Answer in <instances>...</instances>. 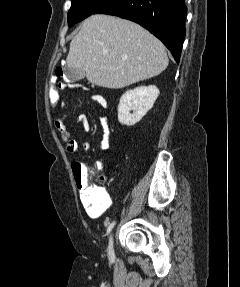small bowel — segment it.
Wrapping results in <instances>:
<instances>
[{
  "mask_svg": "<svg viewBox=\"0 0 240 287\" xmlns=\"http://www.w3.org/2000/svg\"><path fill=\"white\" fill-rule=\"evenodd\" d=\"M90 98L94 102L101 105L103 108L107 107V100L104 96L100 94H94L91 95ZM99 122L103 131L99 147L100 150L106 151L110 148L108 120L105 116H101L99 118ZM76 123L82 127L85 132L89 133L91 131L90 123L85 114H80L77 117ZM54 125L60 134L62 142L65 145V151L68 154L75 153L78 146L77 143L70 138V130L65 121V118L58 124L55 123ZM82 148L86 153H89L91 151V144L88 141H84L82 143ZM100 180L104 181L105 179L102 177ZM80 200L87 214L93 219L99 218L111 206V199L99 188H92L89 193H85L84 191L80 190Z\"/></svg>",
  "mask_w": 240,
  "mask_h": 287,
  "instance_id": "small-bowel-1",
  "label": "small bowel"
}]
</instances>
